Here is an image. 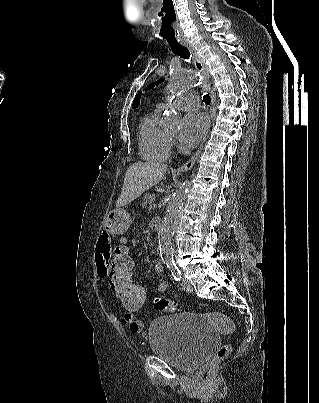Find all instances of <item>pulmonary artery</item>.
I'll list each match as a JSON object with an SVG mask.
<instances>
[{"label": "pulmonary artery", "instance_id": "1", "mask_svg": "<svg viewBox=\"0 0 319 403\" xmlns=\"http://www.w3.org/2000/svg\"><path fill=\"white\" fill-rule=\"evenodd\" d=\"M176 102L179 106L184 108H196L199 106V97L195 92H185L179 95L176 99ZM162 107V104H159Z\"/></svg>", "mask_w": 319, "mask_h": 403}]
</instances>
